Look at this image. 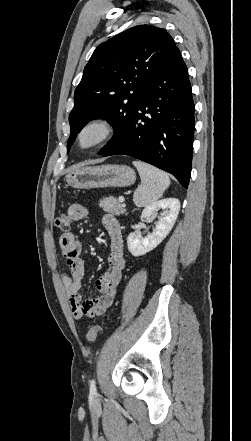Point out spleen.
<instances>
[{
  "instance_id": "spleen-1",
  "label": "spleen",
  "mask_w": 251,
  "mask_h": 441,
  "mask_svg": "<svg viewBox=\"0 0 251 441\" xmlns=\"http://www.w3.org/2000/svg\"><path fill=\"white\" fill-rule=\"evenodd\" d=\"M137 168L141 185L135 190L133 201L137 207H145L162 197L170 185L168 175L162 170L142 161H133Z\"/></svg>"
}]
</instances>
